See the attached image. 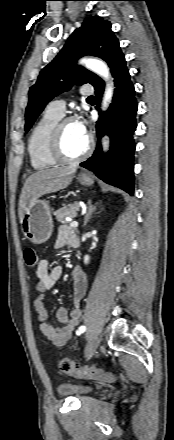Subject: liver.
Returning <instances> with one entry per match:
<instances>
[{"instance_id": "1", "label": "liver", "mask_w": 174, "mask_h": 440, "mask_svg": "<svg viewBox=\"0 0 174 440\" xmlns=\"http://www.w3.org/2000/svg\"><path fill=\"white\" fill-rule=\"evenodd\" d=\"M75 168L68 169H42L30 175L22 188L19 198L18 214L22 223L25 211L31 207L37 199L48 193L60 191L70 185Z\"/></svg>"}]
</instances>
